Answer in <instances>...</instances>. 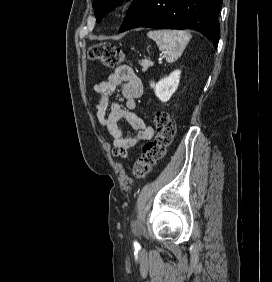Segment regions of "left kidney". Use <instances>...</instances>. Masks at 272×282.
Wrapping results in <instances>:
<instances>
[{"mask_svg":"<svg viewBox=\"0 0 272 282\" xmlns=\"http://www.w3.org/2000/svg\"><path fill=\"white\" fill-rule=\"evenodd\" d=\"M180 70L173 71L168 77L161 79L158 83H150L154 88L155 95L162 101L167 102L177 90L180 81Z\"/></svg>","mask_w":272,"mask_h":282,"instance_id":"obj_1","label":"left kidney"}]
</instances>
